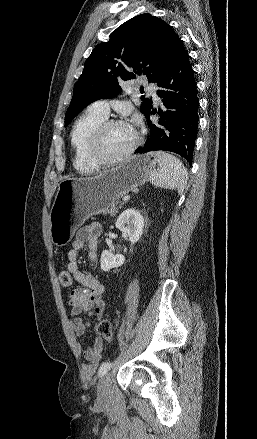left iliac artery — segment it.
Instances as JSON below:
<instances>
[{
	"mask_svg": "<svg viewBox=\"0 0 257 439\" xmlns=\"http://www.w3.org/2000/svg\"><path fill=\"white\" fill-rule=\"evenodd\" d=\"M111 367H112V363H111V362H105V363H103V364L100 366L99 370H98V376H103V375H105V374L110 370Z\"/></svg>",
	"mask_w": 257,
	"mask_h": 439,
	"instance_id": "obj_1",
	"label": "left iliac artery"
}]
</instances>
